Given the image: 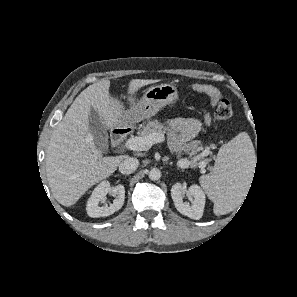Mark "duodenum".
I'll use <instances>...</instances> for the list:
<instances>
[{
	"mask_svg": "<svg viewBox=\"0 0 297 297\" xmlns=\"http://www.w3.org/2000/svg\"><path fill=\"white\" fill-rule=\"evenodd\" d=\"M128 133V129L125 126H118L112 131L111 143L114 147H117L125 138Z\"/></svg>",
	"mask_w": 297,
	"mask_h": 297,
	"instance_id": "1",
	"label": "duodenum"
}]
</instances>
